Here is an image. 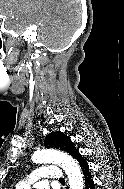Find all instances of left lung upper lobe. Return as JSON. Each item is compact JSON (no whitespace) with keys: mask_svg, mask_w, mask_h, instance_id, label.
I'll return each instance as SVG.
<instances>
[{"mask_svg":"<svg viewBox=\"0 0 124 189\" xmlns=\"http://www.w3.org/2000/svg\"><path fill=\"white\" fill-rule=\"evenodd\" d=\"M44 145L46 148H54L65 151L74 158L80 154L70 138L60 131L48 134L45 138Z\"/></svg>","mask_w":124,"mask_h":189,"instance_id":"obj_1","label":"left lung upper lobe"}]
</instances>
